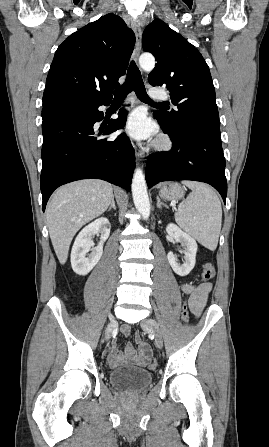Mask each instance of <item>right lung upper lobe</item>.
I'll return each instance as SVG.
<instances>
[{"instance_id": "1", "label": "right lung upper lobe", "mask_w": 269, "mask_h": 447, "mask_svg": "<svg viewBox=\"0 0 269 447\" xmlns=\"http://www.w3.org/2000/svg\"><path fill=\"white\" fill-rule=\"evenodd\" d=\"M135 35L117 15L107 14L70 35L56 50L43 106L91 97H111L120 86Z\"/></svg>"}]
</instances>
